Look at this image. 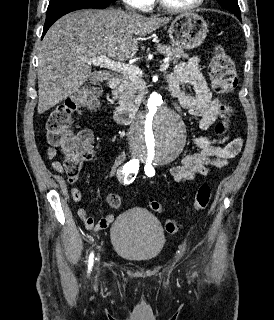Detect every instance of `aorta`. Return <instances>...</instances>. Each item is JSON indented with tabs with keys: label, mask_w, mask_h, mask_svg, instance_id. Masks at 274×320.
<instances>
[{
	"label": "aorta",
	"mask_w": 274,
	"mask_h": 320,
	"mask_svg": "<svg viewBox=\"0 0 274 320\" xmlns=\"http://www.w3.org/2000/svg\"><path fill=\"white\" fill-rule=\"evenodd\" d=\"M185 134L180 116L156 92L150 94L147 109L136 117L130 129L137 153L156 163L177 158L185 144Z\"/></svg>",
	"instance_id": "1"
}]
</instances>
